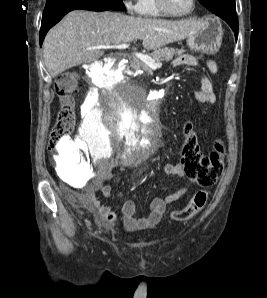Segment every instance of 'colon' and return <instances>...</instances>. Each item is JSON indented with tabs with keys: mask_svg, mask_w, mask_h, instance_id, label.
<instances>
[{
	"mask_svg": "<svg viewBox=\"0 0 267 298\" xmlns=\"http://www.w3.org/2000/svg\"><path fill=\"white\" fill-rule=\"evenodd\" d=\"M60 101V107L56 123L50 136V150L58 156L63 147L70 149L74 158H78L71 151L70 136L75 128L76 113L74 107V94L78 89L76 74L66 72L61 74L55 83ZM183 144L181 147V163L186 175L196 182L201 189L198 190L189 203L181 210L172 213L175 221H185L197 215L205 206L208 199L207 188L213 186L218 180L225 158V146L221 140H217L214 148L209 153H204L198 143L192 124L185 121L182 126ZM83 163V159H79ZM66 174V171H62Z\"/></svg>",
	"mask_w": 267,
	"mask_h": 298,
	"instance_id": "1",
	"label": "colon"
}]
</instances>
